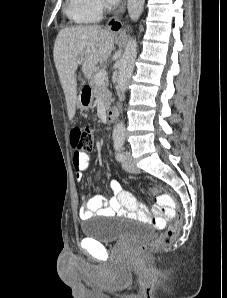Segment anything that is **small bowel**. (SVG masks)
<instances>
[{
	"instance_id": "1",
	"label": "small bowel",
	"mask_w": 227,
	"mask_h": 298,
	"mask_svg": "<svg viewBox=\"0 0 227 298\" xmlns=\"http://www.w3.org/2000/svg\"><path fill=\"white\" fill-rule=\"evenodd\" d=\"M73 166L76 179L80 181L89 166V156L86 154V150H75ZM110 189L113 195L109 199L100 195H95L91 198L83 197L79 210L82 220H88L96 216L114 215L133 218L147 217L148 209L140 205L130 193L124 191L119 181L112 179L110 181ZM154 210L157 212L158 207Z\"/></svg>"
}]
</instances>
